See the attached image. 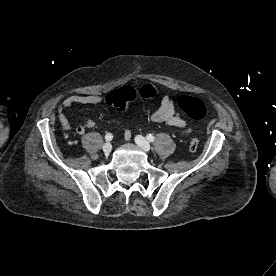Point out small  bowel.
Masks as SVG:
<instances>
[{
  "instance_id": "c3829d8e",
  "label": "small bowel",
  "mask_w": 276,
  "mask_h": 276,
  "mask_svg": "<svg viewBox=\"0 0 276 276\" xmlns=\"http://www.w3.org/2000/svg\"><path fill=\"white\" fill-rule=\"evenodd\" d=\"M103 101L100 95H71L64 99L58 107V117L65 128L69 127L66 117V111L74 104L92 105L99 104ZM152 122L162 123L168 126L176 127L181 135H188L193 131L192 125L182 118L175 108V100L172 95L165 94L160 101L159 108L152 113L150 117ZM95 123L92 119L86 118L84 122L77 126L78 134H84L88 129L93 128ZM131 139V132L125 131L123 135L124 141Z\"/></svg>"
}]
</instances>
